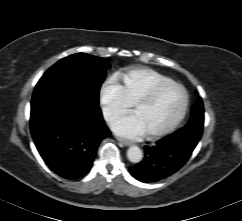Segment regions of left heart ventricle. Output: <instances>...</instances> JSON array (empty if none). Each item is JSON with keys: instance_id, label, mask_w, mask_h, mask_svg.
Returning <instances> with one entry per match:
<instances>
[{"instance_id": "1", "label": "left heart ventricle", "mask_w": 242, "mask_h": 221, "mask_svg": "<svg viewBox=\"0 0 242 221\" xmlns=\"http://www.w3.org/2000/svg\"><path fill=\"white\" fill-rule=\"evenodd\" d=\"M184 102L182 91L174 86L162 90L150 103L135 109L146 134L168 127L179 115Z\"/></svg>"}]
</instances>
